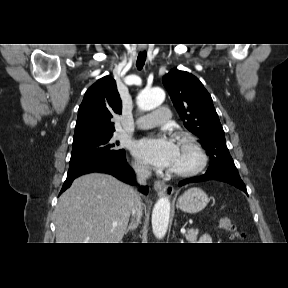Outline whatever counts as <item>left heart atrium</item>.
<instances>
[{
	"label": "left heart atrium",
	"mask_w": 288,
	"mask_h": 288,
	"mask_svg": "<svg viewBox=\"0 0 288 288\" xmlns=\"http://www.w3.org/2000/svg\"><path fill=\"white\" fill-rule=\"evenodd\" d=\"M132 153L156 168H170L176 158L177 145L165 134L151 135L135 141Z\"/></svg>",
	"instance_id": "39dd6f15"
}]
</instances>
